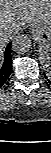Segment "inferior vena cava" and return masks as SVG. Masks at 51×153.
Returning a JSON list of instances; mask_svg holds the SVG:
<instances>
[{
    "instance_id": "inferior-vena-cava-1",
    "label": "inferior vena cava",
    "mask_w": 51,
    "mask_h": 153,
    "mask_svg": "<svg viewBox=\"0 0 51 153\" xmlns=\"http://www.w3.org/2000/svg\"><path fill=\"white\" fill-rule=\"evenodd\" d=\"M6 42H7V39H6L5 35L0 36V46L6 44Z\"/></svg>"
}]
</instances>
